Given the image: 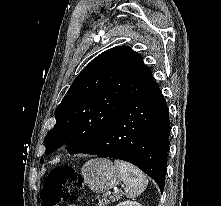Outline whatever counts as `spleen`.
I'll return each mask as SVG.
<instances>
[{
    "instance_id": "3e777b00",
    "label": "spleen",
    "mask_w": 221,
    "mask_h": 206,
    "mask_svg": "<svg viewBox=\"0 0 221 206\" xmlns=\"http://www.w3.org/2000/svg\"><path fill=\"white\" fill-rule=\"evenodd\" d=\"M115 165L121 173L125 184V195L128 198H135L146 189L148 180L140 169L130 163L119 160H115Z\"/></svg>"
}]
</instances>
